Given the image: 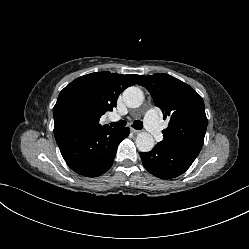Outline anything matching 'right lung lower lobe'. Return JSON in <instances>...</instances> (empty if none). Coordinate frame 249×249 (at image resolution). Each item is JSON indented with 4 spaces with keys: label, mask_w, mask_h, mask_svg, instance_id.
<instances>
[{
    "label": "right lung lower lobe",
    "mask_w": 249,
    "mask_h": 249,
    "mask_svg": "<svg viewBox=\"0 0 249 249\" xmlns=\"http://www.w3.org/2000/svg\"><path fill=\"white\" fill-rule=\"evenodd\" d=\"M129 132L126 127L97 132L64 130L54 135L67 165L80 175L96 177L112 166L117 147Z\"/></svg>",
    "instance_id": "obj_1"
}]
</instances>
